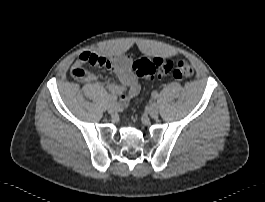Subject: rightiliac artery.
<instances>
[{"label":"right iliac artery","mask_w":265,"mask_h":202,"mask_svg":"<svg viewBox=\"0 0 265 202\" xmlns=\"http://www.w3.org/2000/svg\"><path fill=\"white\" fill-rule=\"evenodd\" d=\"M116 100H117V98L115 96H112V95H109L108 96L109 104L112 103V102H114V101H116Z\"/></svg>","instance_id":"obj_1"}]
</instances>
